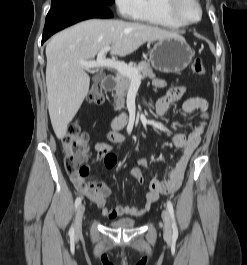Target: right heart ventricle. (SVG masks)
I'll return each instance as SVG.
<instances>
[{
	"label": "right heart ventricle",
	"mask_w": 247,
	"mask_h": 265,
	"mask_svg": "<svg viewBox=\"0 0 247 265\" xmlns=\"http://www.w3.org/2000/svg\"><path fill=\"white\" fill-rule=\"evenodd\" d=\"M166 0H139V10L134 19L144 21L150 24L170 28H181L165 7Z\"/></svg>",
	"instance_id": "obj_1"
}]
</instances>
